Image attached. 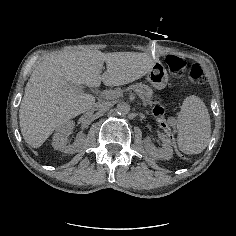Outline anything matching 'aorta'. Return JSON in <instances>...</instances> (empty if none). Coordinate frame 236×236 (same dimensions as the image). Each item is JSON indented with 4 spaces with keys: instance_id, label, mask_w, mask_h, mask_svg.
<instances>
[{
    "instance_id": "762f6f07",
    "label": "aorta",
    "mask_w": 236,
    "mask_h": 236,
    "mask_svg": "<svg viewBox=\"0 0 236 236\" xmlns=\"http://www.w3.org/2000/svg\"><path fill=\"white\" fill-rule=\"evenodd\" d=\"M116 111L120 115H126L130 111V105L127 102H119Z\"/></svg>"
}]
</instances>
